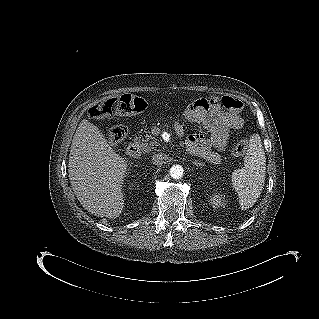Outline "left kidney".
Returning a JSON list of instances; mask_svg holds the SVG:
<instances>
[{
	"label": "left kidney",
	"instance_id": "obj_1",
	"mask_svg": "<svg viewBox=\"0 0 319 319\" xmlns=\"http://www.w3.org/2000/svg\"><path fill=\"white\" fill-rule=\"evenodd\" d=\"M211 204L214 207H220L224 205V200L220 195L216 194L211 198Z\"/></svg>",
	"mask_w": 319,
	"mask_h": 319
}]
</instances>
